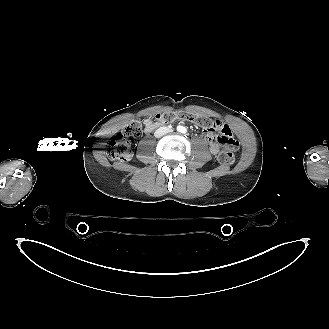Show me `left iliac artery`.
<instances>
[{
	"mask_svg": "<svg viewBox=\"0 0 329 329\" xmlns=\"http://www.w3.org/2000/svg\"><path fill=\"white\" fill-rule=\"evenodd\" d=\"M186 132V129L185 128H183V133H185Z\"/></svg>",
	"mask_w": 329,
	"mask_h": 329,
	"instance_id": "1",
	"label": "left iliac artery"
}]
</instances>
